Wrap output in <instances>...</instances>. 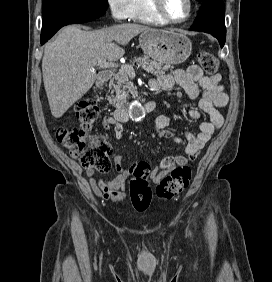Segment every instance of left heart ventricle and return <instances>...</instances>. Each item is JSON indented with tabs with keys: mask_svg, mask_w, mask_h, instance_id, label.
Masks as SVG:
<instances>
[{
	"mask_svg": "<svg viewBox=\"0 0 272 282\" xmlns=\"http://www.w3.org/2000/svg\"><path fill=\"white\" fill-rule=\"evenodd\" d=\"M166 12L175 19H182L187 14L186 0H163Z\"/></svg>",
	"mask_w": 272,
	"mask_h": 282,
	"instance_id": "1",
	"label": "left heart ventricle"
}]
</instances>
